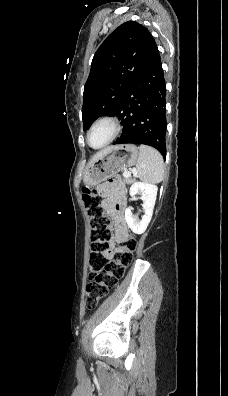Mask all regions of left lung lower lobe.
<instances>
[{
  "label": "left lung lower lobe",
  "mask_w": 228,
  "mask_h": 396,
  "mask_svg": "<svg viewBox=\"0 0 228 396\" xmlns=\"http://www.w3.org/2000/svg\"><path fill=\"white\" fill-rule=\"evenodd\" d=\"M166 84L155 44L144 68L130 87L115 116L123 132L113 144L138 143L156 148L166 158Z\"/></svg>",
  "instance_id": "0a47b994"
}]
</instances>
